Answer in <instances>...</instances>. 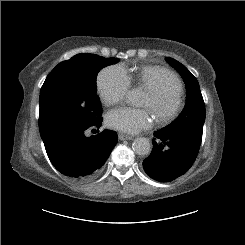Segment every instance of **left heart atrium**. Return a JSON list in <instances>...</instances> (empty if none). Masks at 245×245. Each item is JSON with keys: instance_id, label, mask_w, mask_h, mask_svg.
<instances>
[{"instance_id": "1", "label": "left heart atrium", "mask_w": 245, "mask_h": 245, "mask_svg": "<svg viewBox=\"0 0 245 245\" xmlns=\"http://www.w3.org/2000/svg\"><path fill=\"white\" fill-rule=\"evenodd\" d=\"M109 128L128 134H136L152 126L153 120L147 109L120 107L109 112L106 118Z\"/></svg>"}]
</instances>
